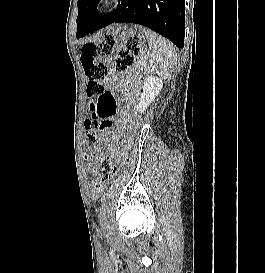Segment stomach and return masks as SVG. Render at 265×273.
Here are the masks:
<instances>
[{
	"label": "stomach",
	"instance_id": "obj_1",
	"mask_svg": "<svg viewBox=\"0 0 265 273\" xmlns=\"http://www.w3.org/2000/svg\"><path fill=\"white\" fill-rule=\"evenodd\" d=\"M108 35H142L143 25H110Z\"/></svg>",
	"mask_w": 265,
	"mask_h": 273
}]
</instances>
